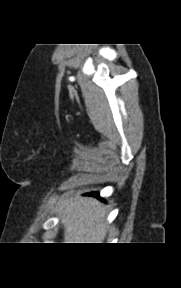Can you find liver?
Returning a JSON list of instances; mask_svg holds the SVG:
<instances>
[{"label":"liver","instance_id":"obj_1","mask_svg":"<svg viewBox=\"0 0 181 288\" xmlns=\"http://www.w3.org/2000/svg\"><path fill=\"white\" fill-rule=\"evenodd\" d=\"M65 243H102L107 234L106 209L98 200L85 197L60 209Z\"/></svg>","mask_w":181,"mask_h":288}]
</instances>
